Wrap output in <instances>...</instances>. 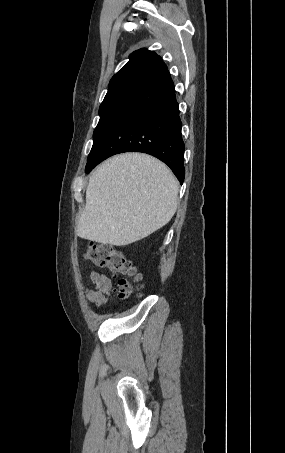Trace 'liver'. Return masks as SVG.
<instances>
[{"label": "liver", "mask_w": 285, "mask_h": 453, "mask_svg": "<svg viewBox=\"0 0 285 453\" xmlns=\"http://www.w3.org/2000/svg\"><path fill=\"white\" fill-rule=\"evenodd\" d=\"M179 185L169 168L147 154L107 159L90 176L75 233L125 246L166 225L177 209Z\"/></svg>", "instance_id": "6515ba94"}]
</instances>
